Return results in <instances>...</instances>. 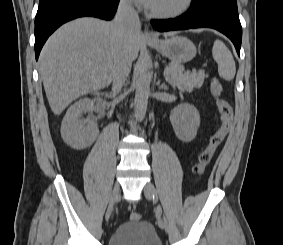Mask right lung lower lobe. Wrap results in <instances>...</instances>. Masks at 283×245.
<instances>
[{
    "instance_id": "1",
    "label": "right lung lower lobe",
    "mask_w": 283,
    "mask_h": 245,
    "mask_svg": "<svg viewBox=\"0 0 283 245\" xmlns=\"http://www.w3.org/2000/svg\"><path fill=\"white\" fill-rule=\"evenodd\" d=\"M119 0H40L35 17V56L47 38L63 23L82 16L113 18Z\"/></svg>"
}]
</instances>
